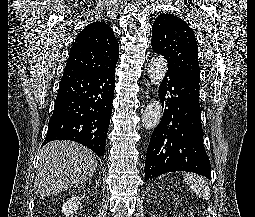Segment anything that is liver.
Returning a JSON list of instances; mask_svg holds the SVG:
<instances>
[{"instance_id": "6515ba94", "label": "liver", "mask_w": 255, "mask_h": 217, "mask_svg": "<svg viewBox=\"0 0 255 217\" xmlns=\"http://www.w3.org/2000/svg\"><path fill=\"white\" fill-rule=\"evenodd\" d=\"M34 182L37 196L46 197L82 184L97 167L95 154L85 146L66 140L52 141L39 154Z\"/></svg>"}]
</instances>
